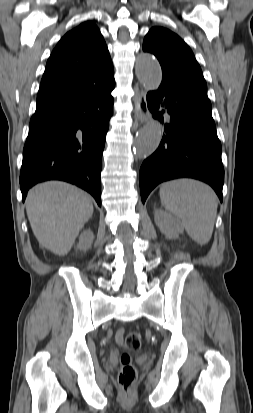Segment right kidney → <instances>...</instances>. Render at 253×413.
I'll return each mask as SVG.
<instances>
[{
  "mask_svg": "<svg viewBox=\"0 0 253 413\" xmlns=\"http://www.w3.org/2000/svg\"><path fill=\"white\" fill-rule=\"evenodd\" d=\"M94 240V234L91 230H86L83 233H81L79 237V243L77 244V249L78 250H83L86 251L88 250Z\"/></svg>",
  "mask_w": 253,
  "mask_h": 413,
  "instance_id": "ca27d5eb",
  "label": "right kidney"
}]
</instances>
